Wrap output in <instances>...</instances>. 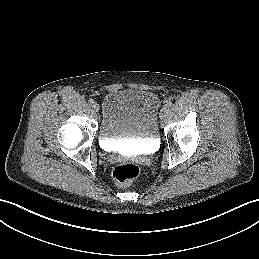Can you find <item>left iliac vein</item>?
I'll return each mask as SVG.
<instances>
[{"mask_svg": "<svg viewBox=\"0 0 259 259\" xmlns=\"http://www.w3.org/2000/svg\"><path fill=\"white\" fill-rule=\"evenodd\" d=\"M168 107L164 106L160 111V118L164 119L168 114Z\"/></svg>", "mask_w": 259, "mask_h": 259, "instance_id": "left-iliac-vein-1", "label": "left iliac vein"}]
</instances>
